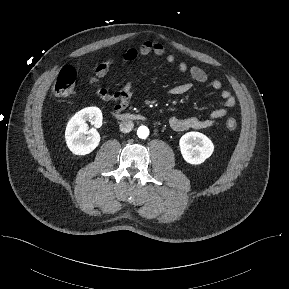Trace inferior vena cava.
I'll return each instance as SVG.
<instances>
[{
  "label": "inferior vena cava",
  "instance_id": "obj_1",
  "mask_svg": "<svg viewBox=\"0 0 289 289\" xmlns=\"http://www.w3.org/2000/svg\"><path fill=\"white\" fill-rule=\"evenodd\" d=\"M133 127H134V124L130 120H123L120 123V131L123 133H129L130 131H132Z\"/></svg>",
  "mask_w": 289,
  "mask_h": 289
}]
</instances>
